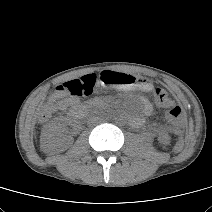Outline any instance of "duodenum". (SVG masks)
I'll return each mask as SVG.
<instances>
[{
	"instance_id": "410a0bca",
	"label": "duodenum",
	"mask_w": 212,
	"mask_h": 212,
	"mask_svg": "<svg viewBox=\"0 0 212 212\" xmlns=\"http://www.w3.org/2000/svg\"><path fill=\"white\" fill-rule=\"evenodd\" d=\"M87 112V107L83 105H74L71 109V116L75 120L82 119ZM134 124H138V121H133Z\"/></svg>"
}]
</instances>
